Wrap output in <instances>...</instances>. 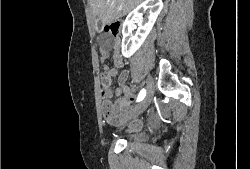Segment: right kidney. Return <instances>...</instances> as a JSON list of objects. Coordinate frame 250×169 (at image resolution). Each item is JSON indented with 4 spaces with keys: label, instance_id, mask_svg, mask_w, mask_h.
I'll return each instance as SVG.
<instances>
[{
    "label": "right kidney",
    "instance_id": "obj_1",
    "mask_svg": "<svg viewBox=\"0 0 250 169\" xmlns=\"http://www.w3.org/2000/svg\"><path fill=\"white\" fill-rule=\"evenodd\" d=\"M163 8L162 0H144L142 4H138L128 14L122 28V54L129 58L132 56L141 44H143L146 36H148L152 26ZM142 10V12H140ZM145 14V16H143ZM134 22H138L136 34H132V28H135Z\"/></svg>",
    "mask_w": 250,
    "mask_h": 169
}]
</instances>
